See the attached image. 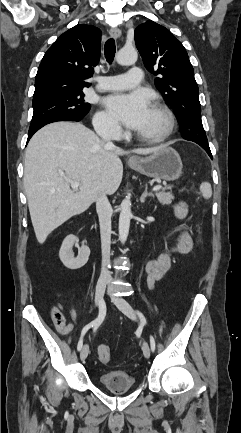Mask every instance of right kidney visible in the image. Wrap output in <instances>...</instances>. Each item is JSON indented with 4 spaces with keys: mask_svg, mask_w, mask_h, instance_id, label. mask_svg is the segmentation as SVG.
I'll return each instance as SVG.
<instances>
[{
    "mask_svg": "<svg viewBox=\"0 0 241 433\" xmlns=\"http://www.w3.org/2000/svg\"><path fill=\"white\" fill-rule=\"evenodd\" d=\"M78 242L79 240L77 237L69 235L64 239L59 251L61 262L65 267L71 270H76L83 267L87 263L90 256L89 247L82 245L81 247H78V256L74 257L72 248L74 245L78 246Z\"/></svg>",
    "mask_w": 241,
    "mask_h": 433,
    "instance_id": "ca27d5eb",
    "label": "right kidney"
}]
</instances>
